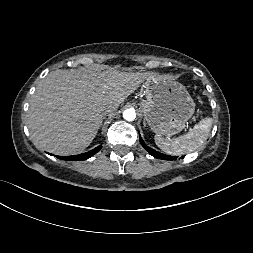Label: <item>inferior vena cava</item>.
<instances>
[{
	"mask_svg": "<svg viewBox=\"0 0 253 253\" xmlns=\"http://www.w3.org/2000/svg\"><path fill=\"white\" fill-rule=\"evenodd\" d=\"M116 110V107L114 105H108L105 109H104V115L110 114L113 111Z\"/></svg>",
	"mask_w": 253,
	"mask_h": 253,
	"instance_id": "602c4592",
	"label": "inferior vena cava"
}]
</instances>
